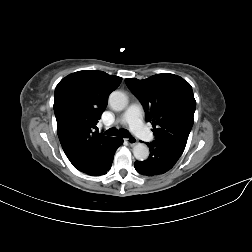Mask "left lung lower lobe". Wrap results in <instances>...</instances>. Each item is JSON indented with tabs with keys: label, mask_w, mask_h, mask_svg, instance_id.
<instances>
[{
	"label": "left lung lower lobe",
	"mask_w": 252,
	"mask_h": 252,
	"mask_svg": "<svg viewBox=\"0 0 252 252\" xmlns=\"http://www.w3.org/2000/svg\"><path fill=\"white\" fill-rule=\"evenodd\" d=\"M150 154L144 161H136L135 169L144 176H157L169 171L178 161L183 150L162 142L147 143Z\"/></svg>",
	"instance_id": "1"
}]
</instances>
